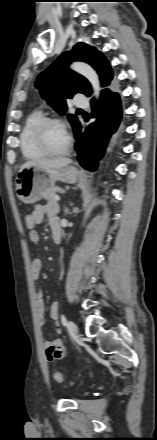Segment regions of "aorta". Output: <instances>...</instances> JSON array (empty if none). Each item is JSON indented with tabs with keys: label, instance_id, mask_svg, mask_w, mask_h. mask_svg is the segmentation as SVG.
I'll use <instances>...</instances> for the list:
<instances>
[{
	"label": "aorta",
	"instance_id": "762f6f07",
	"mask_svg": "<svg viewBox=\"0 0 157 440\" xmlns=\"http://www.w3.org/2000/svg\"><path fill=\"white\" fill-rule=\"evenodd\" d=\"M71 68L77 73L83 75L90 82L93 89V95L98 99L101 87L99 77L95 70L90 65L83 62H74L71 65Z\"/></svg>",
	"mask_w": 157,
	"mask_h": 440
}]
</instances>
